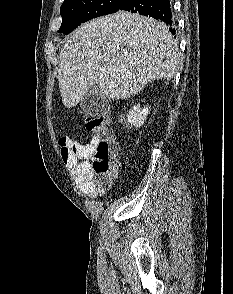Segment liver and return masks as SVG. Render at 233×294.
I'll list each match as a JSON object with an SVG mask.
<instances>
[{
    "label": "liver",
    "instance_id": "obj_1",
    "mask_svg": "<svg viewBox=\"0 0 233 294\" xmlns=\"http://www.w3.org/2000/svg\"><path fill=\"white\" fill-rule=\"evenodd\" d=\"M58 83L67 108L96 85L108 99H127L155 79L176 74L179 49L168 28L125 11L74 30L59 54Z\"/></svg>",
    "mask_w": 233,
    "mask_h": 294
}]
</instances>
